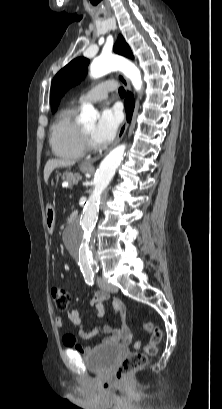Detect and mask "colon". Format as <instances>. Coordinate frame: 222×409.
<instances>
[{
	"label": "colon",
	"instance_id": "colon-1",
	"mask_svg": "<svg viewBox=\"0 0 222 409\" xmlns=\"http://www.w3.org/2000/svg\"><path fill=\"white\" fill-rule=\"evenodd\" d=\"M54 304L58 310H66L69 304L70 295L68 291L61 287H53L51 289ZM142 331L146 334L152 333L150 341L144 346L141 352H134L127 356L118 366L115 379L117 382H126L129 375L137 369L143 367L150 356L157 353V347L162 339V332L158 326L151 323H144ZM64 337V341L66 340Z\"/></svg>",
	"mask_w": 222,
	"mask_h": 409
}]
</instances>
